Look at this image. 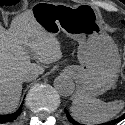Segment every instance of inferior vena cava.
<instances>
[{
	"label": "inferior vena cava",
	"mask_w": 125,
	"mask_h": 125,
	"mask_svg": "<svg viewBox=\"0 0 125 125\" xmlns=\"http://www.w3.org/2000/svg\"><path fill=\"white\" fill-rule=\"evenodd\" d=\"M38 77V74L35 72H30V73H26L22 76V80L23 81H32L34 79H36Z\"/></svg>",
	"instance_id": "obj_1"
}]
</instances>
